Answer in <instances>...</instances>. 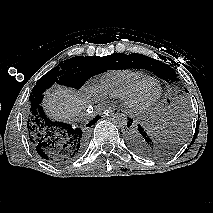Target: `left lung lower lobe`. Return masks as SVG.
I'll return each mask as SVG.
<instances>
[{"label":"left lung lower lobe","instance_id":"0a47b994","mask_svg":"<svg viewBox=\"0 0 213 213\" xmlns=\"http://www.w3.org/2000/svg\"><path fill=\"white\" fill-rule=\"evenodd\" d=\"M132 123L133 120L130 119L127 123L129 130L126 133L127 143L130 148L144 157L156 158L162 156L164 150L159 140H157V136L140 124L136 127H131Z\"/></svg>","mask_w":213,"mask_h":213}]
</instances>
